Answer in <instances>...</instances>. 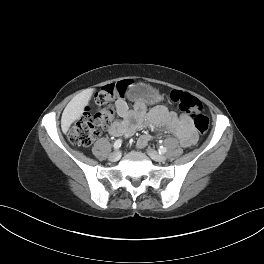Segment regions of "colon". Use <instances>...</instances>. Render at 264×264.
Instances as JSON below:
<instances>
[{
	"mask_svg": "<svg viewBox=\"0 0 264 264\" xmlns=\"http://www.w3.org/2000/svg\"><path fill=\"white\" fill-rule=\"evenodd\" d=\"M128 82L121 81L116 84L106 86L98 92L95 101L98 111L92 114L85 111L69 128L68 138L70 142L77 146H89L99 135L101 127L107 125L114 115L111 100L115 97H124L128 91ZM170 99L179 108L187 112L193 118L196 130L200 134H205L209 127V119L203 114V105L195 96L175 90L171 93Z\"/></svg>",
	"mask_w": 264,
	"mask_h": 264,
	"instance_id": "obj_1",
	"label": "colon"
}]
</instances>
